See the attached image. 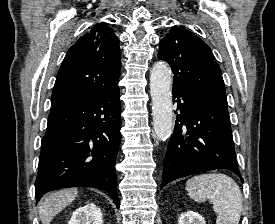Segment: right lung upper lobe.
Masks as SVG:
<instances>
[{
  "instance_id": "right-lung-upper-lobe-1",
  "label": "right lung upper lobe",
  "mask_w": 275,
  "mask_h": 224,
  "mask_svg": "<svg viewBox=\"0 0 275 224\" xmlns=\"http://www.w3.org/2000/svg\"><path fill=\"white\" fill-rule=\"evenodd\" d=\"M121 71L119 39L99 23L67 52L58 71L51 106L84 100L118 86Z\"/></svg>"
}]
</instances>
